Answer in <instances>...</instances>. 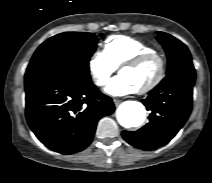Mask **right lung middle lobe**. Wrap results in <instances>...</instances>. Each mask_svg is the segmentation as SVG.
Instances as JSON below:
<instances>
[{
	"label": "right lung middle lobe",
	"mask_w": 212,
	"mask_h": 183,
	"mask_svg": "<svg viewBox=\"0 0 212 183\" xmlns=\"http://www.w3.org/2000/svg\"><path fill=\"white\" fill-rule=\"evenodd\" d=\"M97 42V36L92 33L57 34L38 47L26 72L89 75V60L96 50Z\"/></svg>",
	"instance_id": "1"
}]
</instances>
